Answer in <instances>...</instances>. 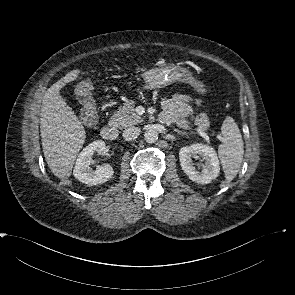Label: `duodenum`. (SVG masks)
Masks as SVG:
<instances>
[{"mask_svg":"<svg viewBox=\"0 0 295 295\" xmlns=\"http://www.w3.org/2000/svg\"><path fill=\"white\" fill-rule=\"evenodd\" d=\"M102 137L107 141H114L118 137V129L115 124H109L101 129Z\"/></svg>","mask_w":295,"mask_h":295,"instance_id":"410a0bca","label":"duodenum"}]
</instances>
